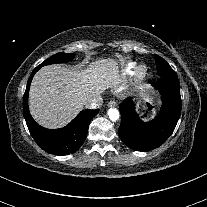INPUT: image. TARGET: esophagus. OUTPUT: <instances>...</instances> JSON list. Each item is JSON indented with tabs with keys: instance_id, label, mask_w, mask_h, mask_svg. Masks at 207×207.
Returning a JSON list of instances; mask_svg holds the SVG:
<instances>
[{
	"instance_id": "1",
	"label": "esophagus",
	"mask_w": 207,
	"mask_h": 207,
	"mask_svg": "<svg viewBox=\"0 0 207 207\" xmlns=\"http://www.w3.org/2000/svg\"><path fill=\"white\" fill-rule=\"evenodd\" d=\"M109 107H115L117 105V103L114 100H111L108 102L107 104Z\"/></svg>"
}]
</instances>
